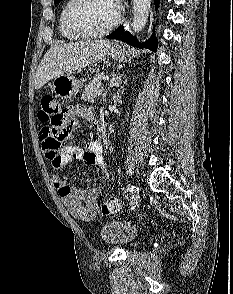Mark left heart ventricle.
<instances>
[{
    "label": "left heart ventricle",
    "mask_w": 233,
    "mask_h": 294,
    "mask_svg": "<svg viewBox=\"0 0 233 294\" xmlns=\"http://www.w3.org/2000/svg\"><path fill=\"white\" fill-rule=\"evenodd\" d=\"M116 15L111 0H85L76 11V21L82 29L95 32L106 28Z\"/></svg>",
    "instance_id": "b2bd125f"
}]
</instances>
